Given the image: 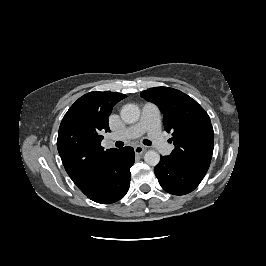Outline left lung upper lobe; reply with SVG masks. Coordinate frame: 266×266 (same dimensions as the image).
Wrapping results in <instances>:
<instances>
[{
    "mask_svg": "<svg viewBox=\"0 0 266 266\" xmlns=\"http://www.w3.org/2000/svg\"><path fill=\"white\" fill-rule=\"evenodd\" d=\"M141 97L155 103L164 114V128L172 133L175 149L169 157L179 165L209 168L214 132L206 111L185 93L168 87L141 92Z\"/></svg>",
    "mask_w": 266,
    "mask_h": 266,
    "instance_id": "5c2ea615",
    "label": "left lung upper lobe"
}]
</instances>
